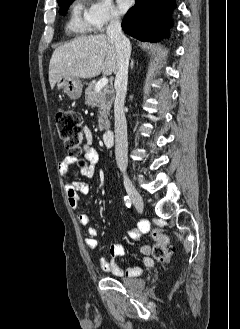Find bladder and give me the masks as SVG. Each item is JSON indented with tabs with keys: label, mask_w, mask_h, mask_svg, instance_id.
Listing matches in <instances>:
<instances>
[{
	"label": "bladder",
	"mask_w": 240,
	"mask_h": 329,
	"mask_svg": "<svg viewBox=\"0 0 240 329\" xmlns=\"http://www.w3.org/2000/svg\"><path fill=\"white\" fill-rule=\"evenodd\" d=\"M121 284H123L126 287L131 288H143L144 287V281L142 280H135V279H128V278H122L119 280Z\"/></svg>",
	"instance_id": "1"
}]
</instances>
